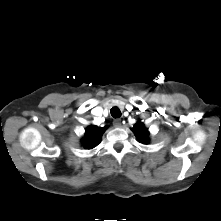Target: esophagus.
I'll return each mask as SVG.
<instances>
[{
  "mask_svg": "<svg viewBox=\"0 0 221 221\" xmlns=\"http://www.w3.org/2000/svg\"><path fill=\"white\" fill-rule=\"evenodd\" d=\"M113 125L115 126V127H121V119H115L114 121H113Z\"/></svg>",
  "mask_w": 221,
  "mask_h": 221,
  "instance_id": "obj_1",
  "label": "esophagus"
}]
</instances>
